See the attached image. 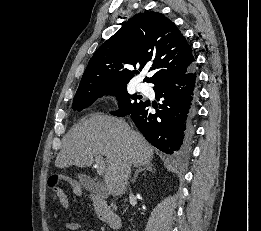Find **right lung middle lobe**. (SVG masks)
Segmentation results:
<instances>
[{
	"label": "right lung middle lobe",
	"instance_id": "obj_1",
	"mask_svg": "<svg viewBox=\"0 0 261 231\" xmlns=\"http://www.w3.org/2000/svg\"><path fill=\"white\" fill-rule=\"evenodd\" d=\"M103 95H112L117 98L119 110L111 112V114L121 117L133 111L144 102L139 101V96L128 94L126 86H121L113 89L98 90L82 95H76L73 99V109L81 111L82 109L90 106L97 98H101Z\"/></svg>",
	"mask_w": 261,
	"mask_h": 231
}]
</instances>
